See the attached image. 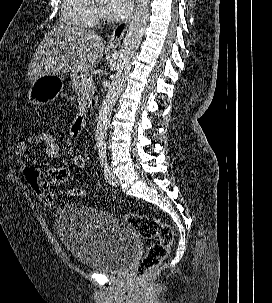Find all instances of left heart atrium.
Listing matches in <instances>:
<instances>
[{"mask_svg": "<svg viewBox=\"0 0 272 303\" xmlns=\"http://www.w3.org/2000/svg\"><path fill=\"white\" fill-rule=\"evenodd\" d=\"M132 0H105V14L114 21L125 19L131 12Z\"/></svg>", "mask_w": 272, "mask_h": 303, "instance_id": "39dd6f15", "label": "left heart atrium"}]
</instances>
